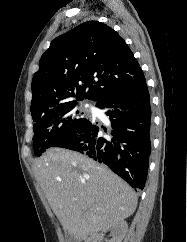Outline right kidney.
<instances>
[{"mask_svg": "<svg viewBox=\"0 0 187 242\" xmlns=\"http://www.w3.org/2000/svg\"><path fill=\"white\" fill-rule=\"evenodd\" d=\"M110 231L112 238L108 242H122L123 238L125 237L128 225L125 221H120L107 229L105 231ZM104 234L93 235L88 238L85 242H101L103 239Z\"/></svg>", "mask_w": 187, "mask_h": 242, "instance_id": "right-kidney-1", "label": "right kidney"}]
</instances>
